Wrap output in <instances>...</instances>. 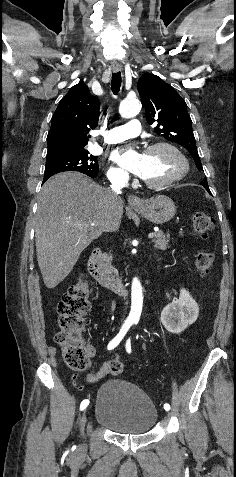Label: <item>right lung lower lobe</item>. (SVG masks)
<instances>
[{
	"instance_id": "98d812e1",
	"label": "right lung lower lobe",
	"mask_w": 236,
	"mask_h": 477,
	"mask_svg": "<svg viewBox=\"0 0 236 477\" xmlns=\"http://www.w3.org/2000/svg\"><path fill=\"white\" fill-rule=\"evenodd\" d=\"M48 178H44L43 183L47 180Z\"/></svg>"
}]
</instances>
